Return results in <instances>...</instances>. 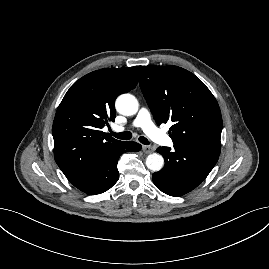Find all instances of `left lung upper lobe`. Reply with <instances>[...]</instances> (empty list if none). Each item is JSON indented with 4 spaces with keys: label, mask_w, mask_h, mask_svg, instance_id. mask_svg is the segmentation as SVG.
<instances>
[{
    "label": "left lung upper lobe",
    "mask_w": 269,
    "mask_h": 269,
    "mask_svg": "<svg viewBox=\"0 0 269 269\" xmlns=\"http://www.w3.org/2000/svg\"><path fill=\"white\" fill-rule=\"evenodd\" d=\"M140 88L156 123L173 122L169 136L174 145L221 148L220 108L194 74L177 66H143Z\"/></svg>",
    "instance_id": "left-lung-upper-lobe-1"
}]
</instances>
